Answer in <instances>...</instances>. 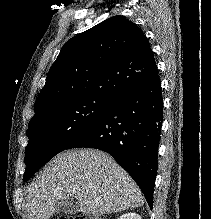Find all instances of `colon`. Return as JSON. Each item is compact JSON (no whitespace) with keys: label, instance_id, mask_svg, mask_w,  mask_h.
Returning a JSON list of instances; mask_svg holds the SVG:
<instances>
[{"label":"colon","instance_id":"1","mask_svg":"<svg viewBox=\"0 0 211 219\" xmlns=\"http://www.w3.org/2000/svg\"><path fill=\"white\" fill-rule=\"evenodd\" d=\"M58 219H105L102 216L83 215V216H61Z\"/></svg>","mask_w":211,"mask_h":219}]
</instances>
